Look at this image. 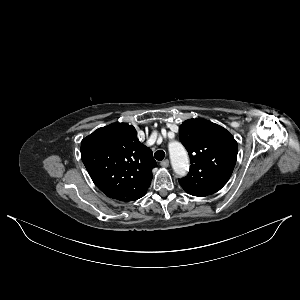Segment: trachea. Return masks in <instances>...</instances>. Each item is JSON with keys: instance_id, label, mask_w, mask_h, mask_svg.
Instances as JSON below:
<instances>
[{"instance_id": "1", "label": "trachea", "mask_w": 300, "mask_h": 300, "mask_svg": "<svg viewBox=\"0 0 300 300\" xmlns=\"http://www.w3.org/2000/svg\"><path fill=\"white\" fill-rule=\"evenodd\" d=\"M154 157H155L156 160L161 161V160L164 159L165 153H164L163 150H158V151L155 152Z\"/></svg>"}]
</instances>
